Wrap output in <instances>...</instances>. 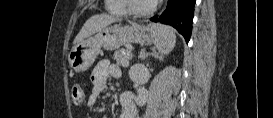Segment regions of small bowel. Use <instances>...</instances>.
<instances>
[{"mask_svg": "<svg viewBox=\"0 0 273 118\" xmlns=\"http://www.w3.org/2000/svg\"><path fill=\"white\" fill-rule=\"evenodd\" d=\"M109 77L120 80L122 78V72L119 67L112 65L108 60H102L96 65L91 74L93 87L86 101L88 107H94L96 105L99 96L107 86ZM121 104L123 106V112L120 118L137 117V108L132 96L123 95Z\"/></svg>", "mask_w": 273, "mask_h": 118, "instance_id": "small-bowel-1", "label": "small bowel"}]
</instances>
